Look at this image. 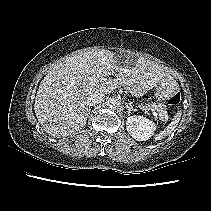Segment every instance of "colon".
Wrapping results in <instances>:
<instances>
[{
    "mask_svg": "<svg viewBox=\"0 0 211 211\" xmlns=\"http://www.w3.org/2000/svg\"><path fill=\"white\" fill-rule=\"evenodd\" d=\"M179 101H180V94L179 93H175L174 95L164 99V104L165 105H175Z\"/></svg>",
    "mask_w": 211,
    "mask_h": 211,
    "instance_id": "1",
    "label": "colon"
}]
</instances>
